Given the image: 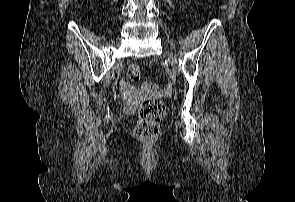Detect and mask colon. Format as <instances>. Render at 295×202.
<instances>
[{
	"mask_svg": "<svg viewBox=\"0 0 295 202\" xmlns=\"http://www.w3.org/2000/svg\"><path fill=\"white\" fill-rule=\"evenodd\" d=\"M140 74V68L136 64H131L127 68V77L132 82H138ZM142 89H148V92L154 93L158 90V87L154 83H144ZM164 112L165 105L160 99L151 98L141 103L139 119L134 128L135 136L144 141L154 140L160 133V121Z\"/></svg>",
	"mask_w": 295,
	"mask_h": 202,
	"instance_id": "5ec220e1",
	"label": "colon"
}]
</instances>
